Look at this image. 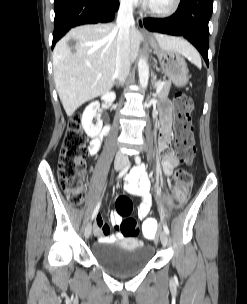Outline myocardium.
<instances>
[{"label":"myocardium","instance_id":"myocardium-1","mask_svg":"<svg viewBox=\"0 0 247 304\" xmlns=\"http://www.w3.org/2000/svg\"><path fill=\"white\" fill-rule=\"evenodd\" d=\"M180 3H181V0H173L171 7L165 11H156V10L152 9L148 3L145 4L144 8H145V11L149 15L156 17V18L164 19V18H169V17L173 16L179 9Z\"/></svg>","mask_w":247,"mask_h":304}]
</instances>
